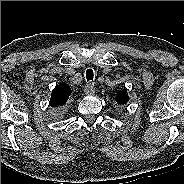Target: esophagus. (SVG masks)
<instances>
[{
    "label": "esophagus",
    "instance_id": "1",
    "mask_svg": "<svg viewBox=\"0 0 184 184\" xmlns=\"http://www.w3.org/2000/svg\"><path fill=\"white\" fill-rule=\"evenodd\" d=\"M84 92L87 95H93L95 93V88L93 83L89 82L86 84L85 88H84Z\"/></svg>",
    "mask_w": 184,
    "mask_h": 184
}]
</instances>
